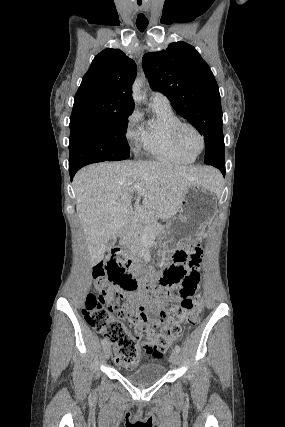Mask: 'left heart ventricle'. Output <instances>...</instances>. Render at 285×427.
<instances>
[{
	"label": "left heart ventricle",
	"instance_id": "left-heart-ventricle-1",
	"mask_svg": "<svg viewBox=\"0 0 285 427\" xmlns=\"http://www.w3.org/2000/svg\"><path fill=\"white\" fill-rule=\"evenodd\" d=\"M181 140H182V143L184 144L185 148L188 151H190L192 153L199 151L200 140H199L198 136L196 135V133L194 131H192L191 129L186 128L182 131Z\"/></svg>",
	"mask_w": 285,
	"mask_h": 427
}]
</instances>
